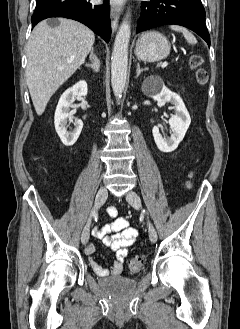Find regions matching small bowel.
Instances as JSON below:
<instances>
[{"label": "small bowel", "mask_w": 240, "mask_h": 329, "mask_svg": "<svg viewBox=\"0 0 240 329\" xmlns=\"http://www.w3.org/2000/svg\"><path fill=\"white\" fill-rule=\"evenodd\" d=\"M108 214L113 221L95 228L93 234L101 240L103 245L113 251L114 260L111 266L109 268L103 267L92 258L96 251V246L93 243L89 244L85 250L86 254L90 256L92 269L100 277L118 276L122 272L125 258L129 253V247L135 243L138 236L137 229L131 227L126 218L117 217V211L114 207L108 209Z\"/></svg>", "instance_id": "obj_1"}]
</instances>
